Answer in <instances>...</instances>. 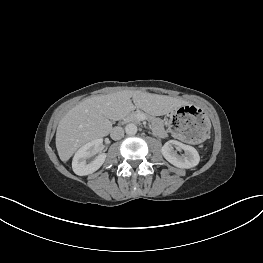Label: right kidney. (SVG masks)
I'll use <instances>...</instances> for the list:
<instances>
[{"label": "right kidney", "instance_id": "ca27d5eb", "mask_svg": "<svg viewBox=\"0 0 263 263\" xmlns=\"http://www.w3.org/2000/svg\"><path fill=\"white\" fill-rule=\"evenodd\" d=\"M102 144V139L92 140L83 145L74 155L72 169L75 174L85 176L97 171L106 159L105 153H99L93 160L89 158Z\"/></svg>", "mask_w": 263, "mask_h": 263}]
</instances>
